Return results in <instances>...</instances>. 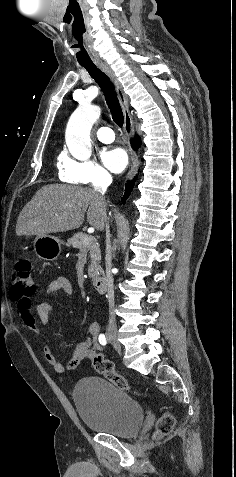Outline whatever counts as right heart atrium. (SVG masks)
Returning a JSON list of instances; mask_svg holds the SVG:
<instances>
[{
    "label": "right heart atrium",
    "instance_id": "obj_1",
    "mask_svg": "<svg viewBox=\"0 0 236 477\" xmlns=\"http://www.w3.org/2000/svg\"><path fill=\"white\" fill-rule=\"evenodd\" d=\"M60 174L69 183L77 185H96L110 179V173L93 160H75L64 157L60 164Z\"/></svg>",
    "mask_w": 236,
    "mask_h": 477
}]
</instances>
